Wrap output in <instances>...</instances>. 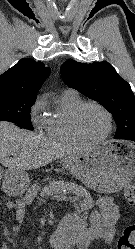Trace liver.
Returning a JSON list of instances; mask_svg holds the SVG:
<instances>
[{
	"instance_id": "1",
	"label": "liver",
	"mask_w": 135,
	"mask_h": 249,
	"mask_svg": "<svg viewBox=\"0 0 135 249\" xmlns=\"http://www.w3.org/2000/svg\"><path fill=\"white\" fill-rule=\"evenodd\" d=\"M84 148L61 145L16 125L0 121V163L9 171L38 169Z\"/></svg>"
}]
</instances>
